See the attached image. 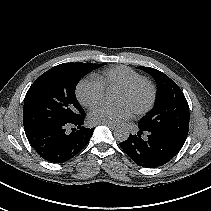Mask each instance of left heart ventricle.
<instances>
[{
	"label": "left heart ventricle",
	"mask_w": 211,
	"mask_h": 211,
	"mask_svg": "<svg viewBox=\"0 0 211 211\" xmlns=\"http://www.w3.org/2000/svg\"><path fill=\"white\" fill-rule=\"evenodd\" d=\"M149 96V89L146 86H143L132 93H126L119 90L117 92L115 101L118 104H126L133 110L137 107L146 104L149 99Z\"/></svg>",
	"instance_id": "obj_1"
}]
</instances>
